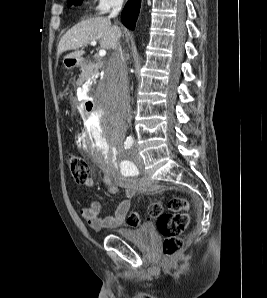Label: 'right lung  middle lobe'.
<instances>
[{
    "label": "right lung middle lobe",
    "instance_id": "1",
    "mask_svg": "<svg viewBox=\"0 0 267 298\" xmlns=\"http://www.w3.org/2000/svg\"><path fill=\"white\" fill-rule=\"evenodd\" d=\"M82 0H68V5L71 6L72 4H81Z\"/></svg>",
    "mask_w": 267,
    "mask_h": 298
}]
</instances>
